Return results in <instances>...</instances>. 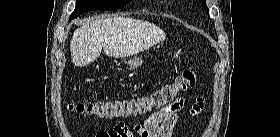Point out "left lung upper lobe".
Wrapping results in <instances>:
<instances>
[{
    "label": "left lung upper lobe",
    "mask_w": 280,
    "mask_h": 137,
    "mask_svg": "<svg viewBox=\"0 0 280 137\" xmlns=\"http://www.w3.org/2000/svg\"><path fill=\"white\" fill-rule=\"evenodd\" d=\"M199 1H200L201 4L203 5V7H205V8L208 9V7L206 6V0H199Z\"/></svg>",
    "instance_id": "1"
}]
</instances>
